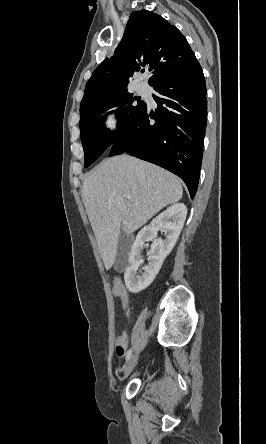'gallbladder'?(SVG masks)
I'll return each mask as SVG.
<instances>
[{
  "label": "gallbladder",
  "instance_id": "gallbladder-1",
  "mask_svg": "<svg viewBox=\"0 0 266 444\" xmlns=\"http://www.w3.org/2000/svg\"><path fill=\"white\" fill-rule=\"evenodd\" d=\"M131 236L126 232H121L118 239L116 259L114 263V268L117 272L124 270L127 264L128 251L130 248Z\"/></svg>",
  "mask_w": 266,
  "mask_h": 444
}]
</instances>
